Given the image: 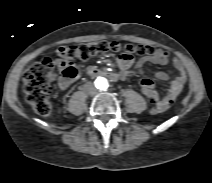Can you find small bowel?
I'll list each match as a JSON object with an SVG mask.
<instances>
[{"label":"small bowel","mask_w":212,"mask_h":183,"mask_svg":"<svg viewBox=\"0 0 212 183\" xmlns=\"http://www.w3.org/2000/svg\"><path fill=\"white\" fill-rule=\"evenodd\" d=\"M163 53H164L163 50H158V53L156 56H154V57L144 56V57L138 59L137 61H134V59L131 55L122 54L118 59V67L123 74H125L131 70H134V71L139 72L140 74H143L144 73V70H143L144 65L147 63L165 65L168 62L167 56H164ZM173 65L176 69V76L170 82L169 89H168L166 95L164 96V98L161 99L157 103L156 106L152 107L153 113H162V112L168 110L172 106V104L174 103L176 98L179 96V94L181 93L183 86L186 82V73H185V70H184V67H183L181 61L178 59H174ZM77 78H78V76L75 79H77ZM154 78L159 82H166L169 79L167 73L162 72V71L156 72L154 74ZM75 79H66L60 75L58 85H59L60 89L64 91L71 85V83ZM143 81H150V80L142 79L139 82V84ZM150 82L152 83V86L154 87L153 82L152 81H150Z\"/></svg>","instance_id":"obj_1"}]
</instances>
